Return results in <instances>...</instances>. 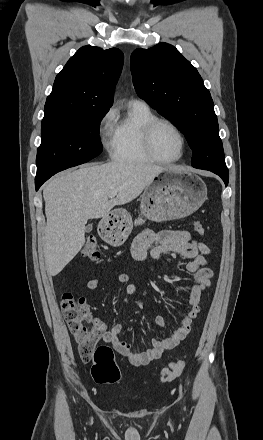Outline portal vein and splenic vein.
<instances>
[{
    "label": "portal vein and splenic vein",
    "instance_id": "18ae733b",
    "mask_svg": "<svg viewBox=\"0 0 263 440\" xmlns=\"http://www.w3.org/2000/svg\"><path fill=\"white\" fill-rule=\"evenodd\" d=\"M118 191L114 190L109 194V198H114L117 195Z\"/></svg>",
    "mask_w": 263,
    "mask_h": 440
}]
</instances>
